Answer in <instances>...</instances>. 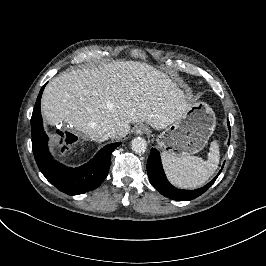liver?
<instances>
[{
  "label": "liver",
  "mask_w": 266,
  "mask_h": 266,
  "mask_svg": "<svg viewBox=\"0 0 266 266\" xmlns=\"http://www.w3.org/2000/svg\"><path fill=\"white\" fill-rule=\"evenodd\" d=\"M168 75L139 61H112L55 77L44 89L41 108L49 125L68 126L99 141V131L115 129L112 139L130 131V123L162 130L184 117L191 104Z\"/></svg>",
  "instance_id": "obj_1"
}]
</instances>
